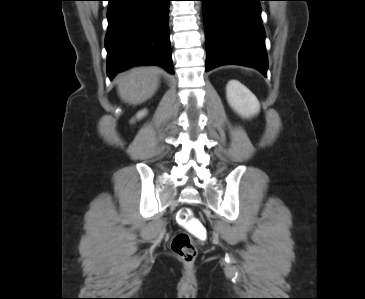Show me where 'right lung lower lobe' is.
I'll use <instances>...</instances> for the list:
<instances>
[{"mask_svg":"<svg viewBox=\"0 0 365 299\" xmlns=\"http://www.w3.org/2000/svg\"><path fill=\"white\" fill-rule=\"evenodd\" d=\"M107 73L157 65L173 74L168 31L170 0H108Z\"/></svg>","mask_w":365,"mask_h":299,"instance_id":"obj_1","label":"right lung lower lobe"}]
</instances>
